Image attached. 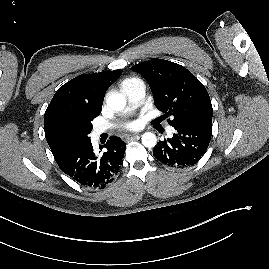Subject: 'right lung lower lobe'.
<instances>
[{"label":"right lung lower lobe","mask_w":269,"mask_h":269,"mask_svg":"<svg viewBox=\"0 0 269 269\" xmlns=\"http://www.w3.org/2000/svg\"><path fill=\"white\" fill-rule=\"evenodd\" d=\"M103 147L106 152L97 156L90 141L54 158L60 169L80 185L104 188L119 172L126 144L119 137L112 136L101 150Z\"/></svg>","instance_id":"right-lung-lower-lobe-1"}]
</instances>
